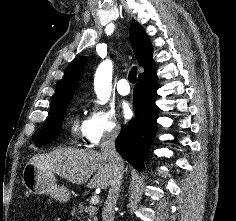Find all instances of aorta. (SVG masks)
Wrapping results in <instances>:
<instances>
[{
	"mask_svg": "<svg viewBox=\"0 0 236 221\" xmlns=\"http://www.w3.org/2000/svg\"><path fill=\"white\" fill-rule=\"evenodd\" d=\"M102 78L99 87L96 88V93L103 103L107 102L111 94L112 85V62L106 60L101 64Z\"/></svg>",
	"mask_w": 236,
	"mask_h": 221,
	"instance_id": "1",
	"label": "aorta"
}]
</instances>
